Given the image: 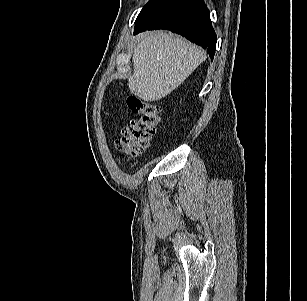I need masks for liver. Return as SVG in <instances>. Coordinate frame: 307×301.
Segmentation results:
<instances>
[{"label": "liver", "instance_id": "obj_1", "mask_svg": "<svg viewBox=\"0 0 307 301\" xmlns=\"http://www.w3.org/2000/svg\"><path fill=\"white\" fill-rule=\"evenodd\" d=\"M137 40L128 86L144 101L170 94L206 59L202 48L163 31L143 33Z\"/></svg>", "mask_w": 307, "mask_h": 301}]
</instances>
